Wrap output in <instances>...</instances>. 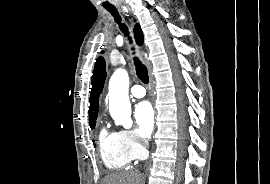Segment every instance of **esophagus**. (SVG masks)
Segmentation results:
<instances>
[{"label":"esophagus","mask_w":270,"mask_h":184,"mask_svg":"<svg viewBox=\"0 0 270 184\" xmlns=\"http://www.w3.org/2000/svg\"><path fill=\"white\" fill-rule=\"evenodd\" d=\"M151 72V69L149 68V73Z\"/></svg>","instance_id":"esophagus-1"}]
</instances>
